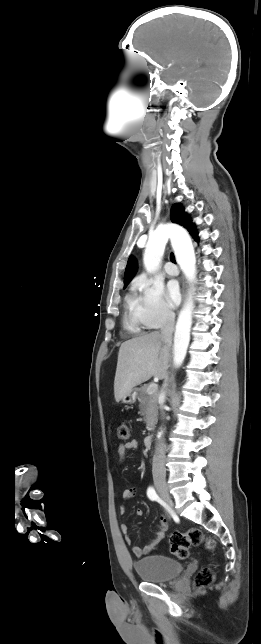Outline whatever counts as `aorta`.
I'll return each instance as SVG.
<instances>
[{"instance_id": "aorta-1", "label": "aorta", "mask_w": 261, "mask_h": 644, "mask_svg": "<svg viewBox=\"0 0 261 644\" xmlns=\"http://www.w3.org/2000/svg\"><path fill=\"white\" fill-rule=\"evenodd\" d=\"M169 238L175 239L176 235L170 229H156L149 237L143 254V263L148 273H154L159 268L165 246ZM176 259L184 274L189 280L195 277V255L191 248H176ZM193 303L188 300L180 312L173 346V361L176 367L183 363L190 341V329L192 325Z\"/></svg>"}]
</instances>
